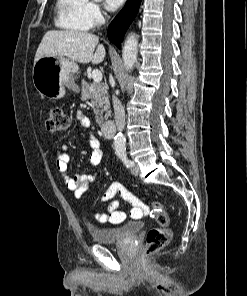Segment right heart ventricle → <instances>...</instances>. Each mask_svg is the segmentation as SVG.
Segmentation results:
<instances>
[{
  "label": "right heart ventricle",
  "mask_w": 247,
  "mask_h": 296,
  "mask_svg": "<svg viewBox=\"0 0 247 296\" xmlns=\"http://www.w3.org/2000/svg\"><path fill=\"white\" fill-rule=\"evenodd\" d=\"M85 0H57L55 24L59 28L85 32L90 29L84 18Z\"/></svg>",
  "instance_id": "1"
}]
</instances>
